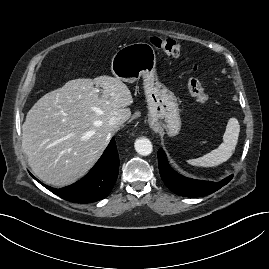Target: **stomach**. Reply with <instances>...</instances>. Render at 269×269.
<instances>
[{
	"label": "stomach",
	"instance_id": "1",
	"mask_svg": "<svg viewBox=\"0 0 269 269\" xmlns=\"http://www.w3.org/2000/svg\"><path fill=\"white\" fill-rule=\"evenodd\" d=\"M111 71L116 78L128 83L143 78L150 126L166 131L169 136L179 133L181 118L177 99L158 80L156 54L150 44L137 42L120 48L112 58Z\"/></svg>",
	"mask_w": 269,
	"mask_h": 269
}]
</instances>
